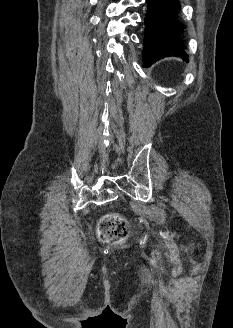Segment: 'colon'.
Returning <instances> with one entry per match:
<instances>
[{"label": "colon", "mask_w": 233, "mask_h": 328, "mask_svg": "<svg viewBox=\"0 0 233 328\" xmlns=\"http://www.w3.org/2000/svg\"><path fill=\"white\" fill-rule=\"evenodd\" d=\"M128 231L126 220L116 213L105 215L98 225L99 238L107 243L124 239L128 235Z\"/></svg>", "instance_id": "colon-1"}]
</instances>
